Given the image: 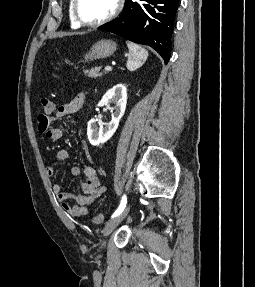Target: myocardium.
<instances>
[{
    "label": "myocardium",
    "mask_w": 255,
    "mask_h": 287,
    "mask_svg": "<svg viewBox=\"0 0 255 287\" xmlns=\"http://www.w3.org/2000/svg\"><path fill=\"white\" fill-rule=\"evenodd\" d=\"M91 33H115V32H91ZM93 39H116V38H93ZM111 48H120V47H111Z\"/></svg>",
    "instance_id": "f54148a6"
}]
</instances>
